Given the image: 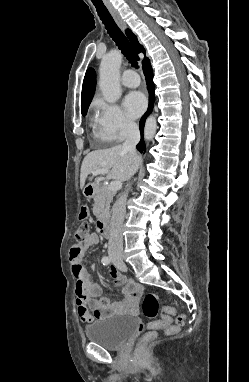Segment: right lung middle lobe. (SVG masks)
Here are the masks:
<instances>
[{
  "label": "right lung middle lobe",
  "mask_w": 249,
  "mask_h": 382,
  "mask_svg": "<svg viewBox=\"0 0 249 382\" xmlns=\"http://www.w3.org/2000/svg\"><path fill=\"white\" fill-rule=\"evenodd\" d=\"M87 113V110L82 111V115L85 116Z\"/></svg>",
  "instance_id": "right-lung-middle-lobe-1"
}]
</instances>
